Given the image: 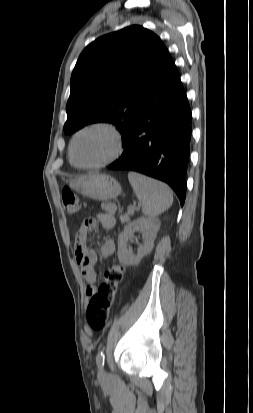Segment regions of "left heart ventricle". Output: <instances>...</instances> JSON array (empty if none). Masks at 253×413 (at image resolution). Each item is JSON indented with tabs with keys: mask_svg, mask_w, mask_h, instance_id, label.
I'll return each instance as SVG.
<instances>
[{
	"mask_svg": "<svg viewBox=\"0 0 253 413\" xmlns=\"http://www.w3.org/2000/svg\"><path fill=\"white\" fill-rule=\"evenodd\" d=\"M113 149L111 136L103 130L81 134L74 146V157L81 164H93L107 157Z\"/></svg>",
	"mask_w": 253,
	"mask_h": 413,
	"instance_id": "left-heart-ventricle-1",
	"label": "left heart ventricle"
}]
</instances>
